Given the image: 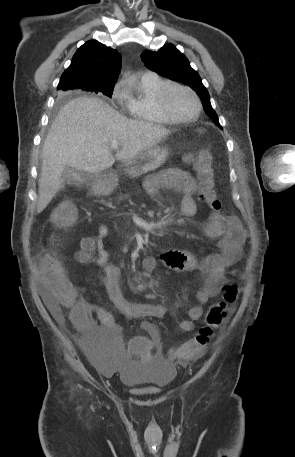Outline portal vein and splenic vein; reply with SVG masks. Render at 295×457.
<instances>
[{"instance_id": "portal-vein-and-splenic-vein-1", "label": "portal vein and splenic vein", "mask_w": 295, "mask_h": 457, "mask_svg": "<svg viewBox=\"0 0 295 457\" xmlns=\"http://www.w3.org/2000/svg\"><path fill=\"white\" fill-rule=\"evenodd\" d=\"M111 148H112V149H117V148H118V142H117V141H113V142L111 143Z\"/></svg>"}]
</instances>
